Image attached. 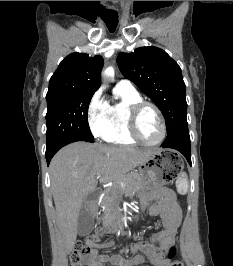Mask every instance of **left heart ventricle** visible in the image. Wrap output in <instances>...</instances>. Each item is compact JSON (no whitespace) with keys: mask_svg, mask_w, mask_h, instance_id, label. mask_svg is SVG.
<instances>
[{"mask_svg":"<svg viewBox=\"0 0 233 266\" xmlns=\"http://www.w3.org/2000/svg\"><path fill=\"white\" fill-rule=\"evenodd\" d=\"M138 131L147 142H155L161 135V123L157 113L150 107L144 108L138 119Z\"/></svg>","mask_w":233,"mask_h":266,"instance_id":"1","label":"left heart ventricle"}]
</instances>
